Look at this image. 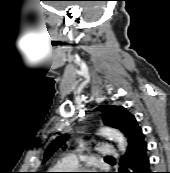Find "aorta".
I'll use <instances>...</instances> for the list:
<instances>
[{
  "label": "aorta",
  "instance_id": "762f6f07",
  "mask_svg": "<svg viewBox=\"0 0 170 173\" xmlns=\"http://www.w3.org/2000/svg\"><path fill=\"white\" fill-rule=\"evenodd\" d=\"M100 134L110 140H113L117 144L119 150L125 153L127 148V141L119 130L110 127H102L100 129Z\"/></svg>",
  "mask_w": 170,
  "mask_h": 173
}]
</instances>
